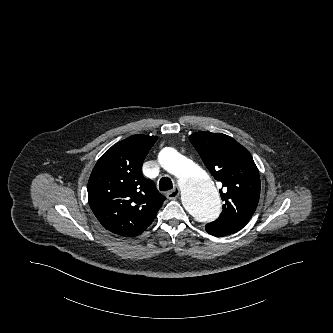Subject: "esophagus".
Returning <instances> with one entry per match:
<instances>
[{
	"label": "esophagus",
	"mask_w": 333,
	"mask_h": 333,
	"mask_svg": "<svg viewBox=\"0 0 333 333\" xmlns=\"http://www.w3.org/2000/svg\"><path fill=\"white\" fill-rule=\"evenodd\" d=\"M180 194V190L178 187H175L173 190L169 191L167 194H166V197L168 199H176Z\"/></svg>",
	"instance_id": "1"
}]
</instances>
